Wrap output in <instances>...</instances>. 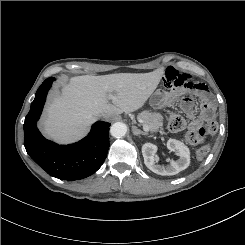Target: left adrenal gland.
I'll return each mask as SVG.
<instances>
[{
  "label": "left adrenal gland",
  "mask_w": 245,
  "mask_h": 245,
  "mask_svg": "<svg viewBox=\"0 0 245 245\" xmlns=\"http://www.w3.org/2000/svg\"><path fill=\"white\" fill-rule=\"evenodd\" d=\"M132 131H133V134H134L135 136L148 135V133L141 131V130L138 129L136 126H133V127H132Z\"/></svg>",
  "instance_id": "obj_1"
}]
</instances>
